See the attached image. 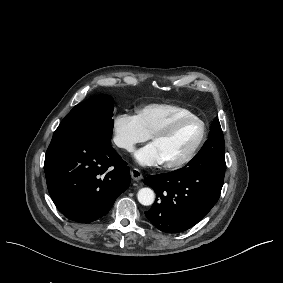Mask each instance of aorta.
<instances>
[{
    "label": "aorta",
    "mask_w": 283,
    "mask_h": 283,
    "mask_svg": "<svg viewBox=\"0 0 283 283\" xmlns=\"http://www.w3.org/2000/svg\"><path fill=\"white\" fill-rule=\"evenodd\" d=\"M137 199L144 206L152 205L155 201V193L151 188H141L137 193Z\"/></svg>",
    "instance_id": "obj_1"
}]
</instances>
